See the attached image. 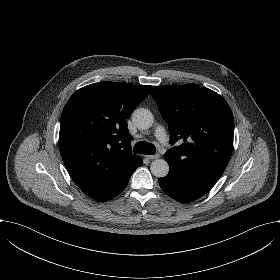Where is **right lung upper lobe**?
<instances>
[{
  "instance_id": "right-lung-upper-lobe-1",
  "label": "right lung upper lobe",
  "mask_w": 280,
  "mask_h": 280,
  "mask_svg": "<svg viewBox=\"0 0 280 280\" xmlns=\"http://www.w3.org/2000/svg\"><path fill=\"white\" fill-rule=\"evenodd\" d=\"M152 86L100 82L77 90L62 112L59 148L81 190L92 199L114 198L142 165L132 154L126 119Z\"/></svg>"
}]
</instances>
